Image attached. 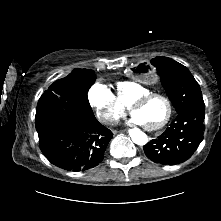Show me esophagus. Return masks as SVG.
Returning <instances> with one entry per match:
<instances>
[{
  "instance_id": "obj_1",
  "label": "esophagus",
  "mask_w": 221,
  "mask_h": 221,
  "mask_svg": "<svg viewBox=\"0 0 221 221\" xmlns=\"http://www.w3.org/2000/svg\"><path fill=\"white\" fill-rule=\"evenodd\" d=\"M114 133H117V130H114ZM119 133H125V130H119Z\"/></svg>"
}]
</instances>
